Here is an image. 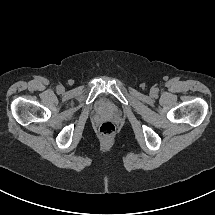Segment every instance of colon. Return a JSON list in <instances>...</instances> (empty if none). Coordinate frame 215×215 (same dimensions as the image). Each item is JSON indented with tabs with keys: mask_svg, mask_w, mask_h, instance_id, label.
Returning a JSON list of instances; mask_svg holds the SVG:
<instances>
[{
	"mask_svg": "<svg viewBox=\"0 0 215 215\" xmlns=\"http://www.w3.org/2000/svg\"><path fill=\"white\" fill-rule=\"evenodd\" d=\"M116 127L111 121H105L100 125L99 131L105 137H110L115 133Z\"/></svg>",
	"mask_w": 215,
	"mask_h": 215,
	"instance_id": "obj_1",
	"label": "colon"
}]
</instances>
